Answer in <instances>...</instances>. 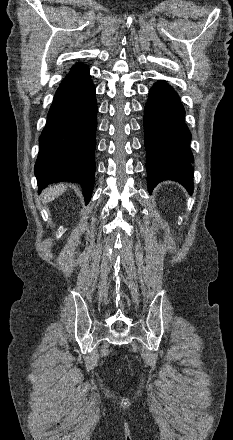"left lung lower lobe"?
Listing matches in <instances>:
<instances>
[{
  "label": "left lung lower lobe",
  "mask_w": 233,
  "mask_h": 440,
  "mask_svg": "<svg viewBox=\"0 0 233 440\" xmlns=\"http://www.w3.org/2000/svg\"><path fill=\"white\" fill-rule=\"evenodd\" d=\"M184 116V108L174 89L165 81L156 82L149 91L144 109L149 191L165 179L178 181L190 193L193 191L191 133Z\"/></svg>",
  "instance_id": "left-lung-lower-lobe-1"
}]
</instances>
